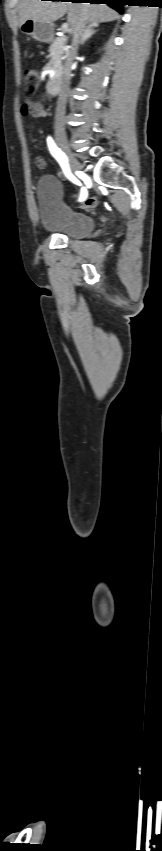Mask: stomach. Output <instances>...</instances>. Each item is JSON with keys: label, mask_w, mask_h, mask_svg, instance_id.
I'll use <instances>...</instances> for the list:
<instances>
[{"label": "stomach", "mask_w": 162, "mask_h": 851, "mask_svg": "<svg viewBox=\"0 0 162 851\" xmlns=\"http://www.w3.org/2000/svg\"><path fill=\"white\" fill-rule=\"evenodd\" d=\"M22 33L40 42H50L53 39V24L42 23L27 19L20 25Z\"/></svg>", "instance_id": "stomach-1"}]
</instances>
